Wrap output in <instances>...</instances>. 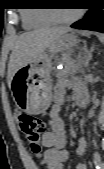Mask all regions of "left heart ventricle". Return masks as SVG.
I'll list each match as a JSON object with an SVG mask.
<instances>
[{
  "label": "left heart ventricle",
  "instance_id": "1",
  "mask_svg": "<svg viewBox=\"0 0 104 169\" xmlns=\"http://www.w3.org/2000/svg\"><path fill=\"white\" fill-rule=\"evenodd\" d=\"M76 10L74 9H61V10H57V14L60 17H70L75 13Z\"/></svg>",
  "mask_w": 104,
  "mask_h": 169
}]
</instances>
